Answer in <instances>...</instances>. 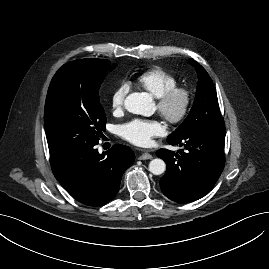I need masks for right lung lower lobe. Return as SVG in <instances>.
I'll use <instances>...</instances> for the list:
<instances>
[{"mask_svg": "<svg viewBox=\"0 0 269 269\" xmlns=\"http://www.w3.org/2000/svg\"><path fill=\"white\" fill-rule=\"evenodd\" d=\"M97 144L51 157L52 171L59 183L74 199L89 206L111 201L123 173L135 160L128 146L116 144L99 154Z\"/></svg>", "mask_w": 269, "mask_h": 269, "instance_id": "1", "label": "right lung lower lobe"}]
</instances>
